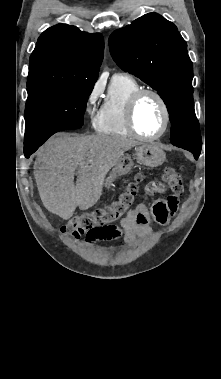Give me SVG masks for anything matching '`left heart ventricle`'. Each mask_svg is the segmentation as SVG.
Returning a JSON list of instances; mask_svg holds the SVG:
<instances>
[{
  "instance_id": "obj_1",
  "label": "left heart ventricle",
  "mask_w": 221,
  "mask_h": 379,
  "mask_svg": "<svg viewBox=\"0 0 221 379\" xmlns=\"http://www.w3.org/2000/svg\"><path fill=\"white\" fill-rule=\"evenodd\" d=\"M135 122L143 135L153 136L160 132L164 115L160 103L154 96L146 95L140 100L136 109Z\"/></svg>"
}]
</instances>
